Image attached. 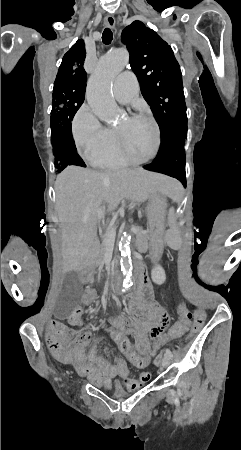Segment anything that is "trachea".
<instances>
[{"label":"trachea","mask_w":241,"mask_h":450,"mask_svg":"<svg viewBox=\"0 0 241 450\" xmlns=\"http://www.w3.org/2000/svg\"><path fill=\"white\" fill-rule=\"evenodd\" d=\"M113 40V33L110 28H105L102 34V41L105 45H109Z\"/></svg>","instance_id":"obj_1"}]
</instances>
